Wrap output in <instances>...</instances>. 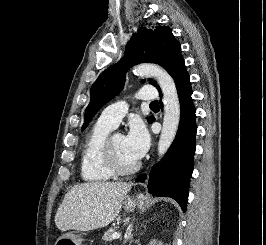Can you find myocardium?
<instances>
[{"label":"myocardium","instance_id":"1","mask_svg":"<svg viewBox=\"0 0 266 245\" xmlns=\"http://www.w3.org/2000/svg\"><path fill=\"white\" fill-rule=\"evenodd\" d=\"M114 135H108L102 149V161L107 171L114 177H125L136 173L140 167V163L136 162L128 169L121 168L114 157L112 149V138Z\"/></svg>","mask_w":266,"mask_h":245}]
</instances>
